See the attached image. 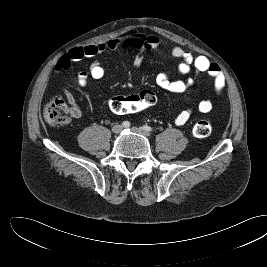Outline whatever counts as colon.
I'll use <instances>...</instances> for the list:
<instances>
[{"label": "colon", "instance_id": "obj_1", "mask_svg": "<svg viewBox=\"0 0 267 267\" xmlns=\"http://www.w3.org/2000/svg\"><path fill=\"white\" fill-rule=\"evenodd\" d=\"M156 95L150 90H143L134 95H118L110 99L111 110L117 114H133L145 111L156 103ZM44 118L50 125H63L71 121L73 111L63 100L53 99L44 108ZM209 121L199 120L192 129L197 138H205L211 134Z\"/></svg>", "mask_w": 267, "mask_h": 267}]
</instances>
